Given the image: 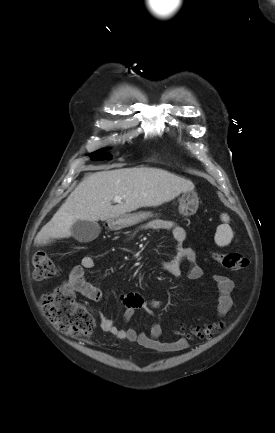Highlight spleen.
I'll return each mask as SVG.
<instances>
[{
	"instance_id": "obj_1",
	"label": "spleen",
	"mask_w": 275,
	"mask_h": 433,
	"mask_svg": "<svg viewBox=\"0 0 275 433\" xmlns=\"http://www.w3.org/2000/svg\"><path fill=\"white\" fill-rule=\"evenodd\" d=\"M221 220L224 222V224H221L217 227L214 240L218 246L222 247L230 244L233 238V232L231 227L228 225L229 216L227 214H222Z\"/></svg>"
}]
</instances>
